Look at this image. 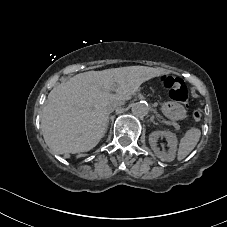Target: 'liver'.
<instances>
[{
  "label": "liver",
  "instance_id": "6515ba94",
  "mask_svg": "<svg viewBox=\"0 0 227 227\" xmlns=\"http://www.w3.org/2000/svg\"><path fill=\"white\" fill-rule=\"evenodd\" d=\"M161 71L145 66H129L77 74L55 86L42 109L41 129L45 143L54 154L87 152L103 137L110 90L129 96Z\"/></svg>",
  "mask_w": 227,
  "mask_h": 227
}]
</instances>
